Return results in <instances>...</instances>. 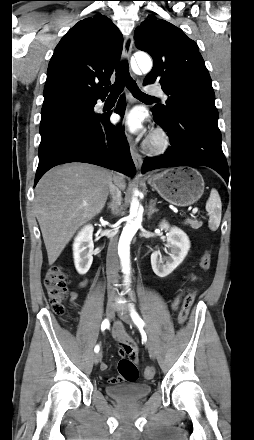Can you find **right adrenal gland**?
<instances>
[{"label":"right adrenal gland","mask_w":254,"mask_h":440,"mask_svg":"<svg viewBox=\"0 0 254 440\" xmlns=\"http://www.w3.org/2000/svg\"><path fill=\"white\" fill-rule=\"evenodd\" d=\"M109 210H111V211H113V207H112V205L111 204H108V207H107Z\"/></svg>","instance_id":"obj_1"}]
</instances>
